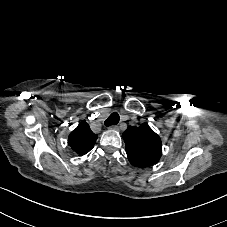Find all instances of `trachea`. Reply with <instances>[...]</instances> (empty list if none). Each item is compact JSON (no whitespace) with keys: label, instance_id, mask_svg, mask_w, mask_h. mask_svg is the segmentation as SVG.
<instances>
[{"label":"trachea","instance_id":"3493384b","mask_svg":"<svg viewBox=\"0 0 227 227\" xmlns=\"http://www.w3.org/2000/svg\"><path fill=\"white\" fill-rule=\"evenodd\" d=\"M119 120H120L119 114L117 112H113L112 114L109 115L104 124L106 127H110L118 124Z\"/></svg>","mask_w":227,"mask_h":227}]
</instances>
